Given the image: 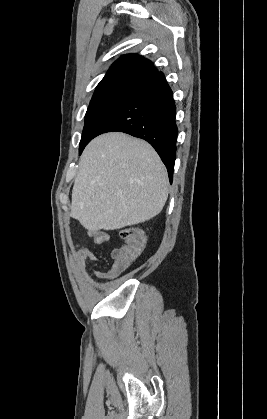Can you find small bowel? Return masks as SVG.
<instances>
[{
  "mask_svg": "<svg viewBox=\"0 0 267 419\" xmlns=\"http://www.w3.org/2000/svg\"><path fill=\"white\" fill-rule=\"evenodd\" d=\"M89 236L98 245L105 243L109 239V235L104 231H93L89 233ZM76 258H77V264H78L79 270L83 274H86V264L88 262H94L96 260V257L93 251L90 248L85 247V246H79L76 248ZM94 274L98 278L110 279L117 276L119 272L116 271L113 268V266H111L110 269L105 270V271L95 270Z\"/></svg>",
  "mask_w": 267,
  "mask_h": 419,
  "instance_id": "c3829d8e",
  "label": "small bowel"
}]
</instances>
